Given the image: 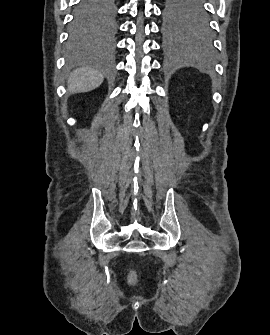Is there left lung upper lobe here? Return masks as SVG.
<instances>
[{
	"instance_id": "obj_1",
	"label": "left lung upper lobe",
	"mask_w": 270,
	"mask_h": 335,
	"mask_svg": "<svg viewBox=\"0 0 270 335\" xmlns=\"http://www.w3.org/2000/svg\"><path fill=\"white\" fill-rule=\"evenodd\" d=\"M164 29L168 33L208 29L204 0H165Z\"/></svg>"
}]
</instances>
